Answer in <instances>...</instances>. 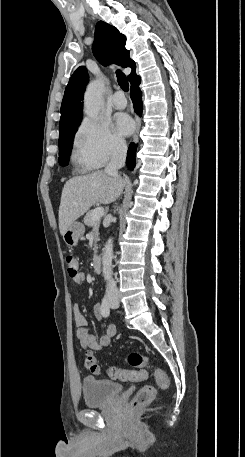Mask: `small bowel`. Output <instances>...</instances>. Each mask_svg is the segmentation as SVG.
Instances as JSON below:
<instances>
[{"label":"small bowel","mask_w":245,"mask_h":457,"mask_svg":"<svg viewBox=\"0 0 245 457\" xmlns=\"http://www.w3.org/2000/svg\"><path fill=\"white\" fill-rule=\"evenodd\" d=\"M85 277L86 275L84 272H78V274L72 279L75 283L81 284L85 280ZM101 305L97 304L94 307L93 313L97 320H101L103 317ZM73 320L75 326L77 327V339L80 345L85 349L103 350L111 344L112 339L116 335V327L114 325H109L106 329V333L100 339H96V337L89 332L87 328V321L78 304L73 306Z\"/></svg>","instance_id":"obj_1"}]
</instances>
